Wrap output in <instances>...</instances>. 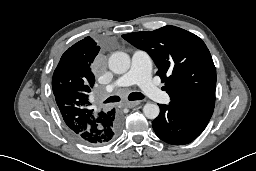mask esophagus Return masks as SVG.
Here are the masks:
<instances>
[{
  "label": "esophagus",
  "mask_w": 256,
  "mask_h": 171,
  "mask_svg": "<svg viewBox=\"0 0 256 171\" xmlns=\"http://www.w3.org/2000/svg\"><path fill=\"white\" fill-rule=\"evenodd\" d=\"M140 103H141L140 101H128V102L125 103V105L128 108H133V107L138 106Z\"/></svg>",
  "instance_id": "obj_1"
}]
</instances>
